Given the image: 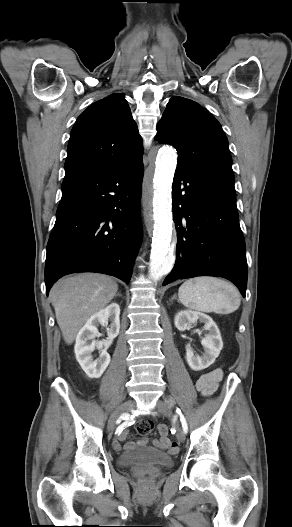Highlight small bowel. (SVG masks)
Returning a JSON list of instances; mask_svg holds the SVG:
<instances>
[{
    "label": "small bowel",
    "mask_w": 292,
    "mask_h": 527,
    "mask_svg": "<svg viewBox=\"0 0 292 527\" xmlns=\"http://www.w3.org/2000/svg\"><path fill=\"white\" fill-rule=\"evenodd\" d=\"M222 377V371L221 369H214L203 376H201L197 381V389L203 396L211 395L218 387V383L221 380ZM159 427V437L160 439H156L153 441V445L157 447L162 448H170L172 450H175L177 448V445L175 442H172L168 435L171 432V429L169 427V424L167 421H160L158 424ZM128 431L127 429L125 431H122L116 440L113 442V448L116 451H120L122 449L121 442L124 441L127 437ZM149 443V440L147 438H143L138 441L137 444L139 445H147ZM136 443L134 442H128L125 445L126 449H132L134 448Z\"/></svg>",
    "instance_id": "obj_1"
}]
</instances>
